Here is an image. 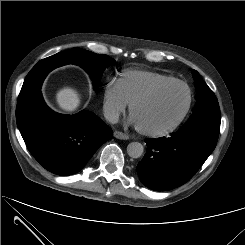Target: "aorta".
I'll list each match as a JSON object with an SVG mask.
<instances>
[{"instance_id": "762f6f07", "label": "aorta", "mask_w": 245, "mask_h": 245, "mask_svg": "<svg viewBox=\"0 0 245 245\" xmlns=\"http://www.w3.org/2000/svg\"><path fill=\"white\" fill-rule=\"evenodd\" d=\"M144 151V147L139 142H131L127 146V153L132 158H139Z\"/></svg>"}]
</instances>
